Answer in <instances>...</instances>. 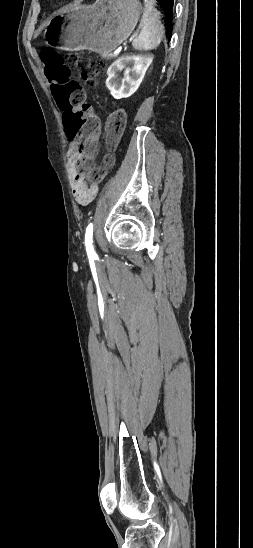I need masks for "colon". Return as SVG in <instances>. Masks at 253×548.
Returning a JSON list of instances; mask_svg holds the SVG:
<instances>
[{"mask_svg":"<svg viewBox=\"0 0 253 548\" xmlns=\"http://www.w3.org/2000/svg\"><path fill=\"white\" fill-rule=\"evenodd\" d=\"M43 73L50 87L49 95L55 99L62 111L65 137H83L75 171L84 175L90 182H101L113 164V156L107 154L104 164L96 166L94 158L97 152V141L101 133V120L85 102L82 87L71 76L70 68L77 71L80 81L86 86H94L104 64L100 60L86 57L79 53L61 55L52 49H43L40 54ZM126 125V112L121 107H114L105 123V135L109 150L112 151Z\"/></svg>","mask_w":253,"mask_h":548,"instance_id":"obj_1","label":"colon"}]
</instances>
